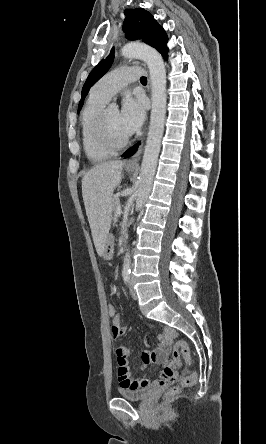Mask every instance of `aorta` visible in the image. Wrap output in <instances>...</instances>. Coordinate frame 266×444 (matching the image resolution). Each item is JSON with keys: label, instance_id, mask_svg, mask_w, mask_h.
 Masks as SVG:
<instances>
[{"label": "aorta", "instance_id": "1", "mask_svg": "<svg viewBox=\"0 0 266 444\" xmlns=\"http://www.w3.org/2000/svg\"><path fill=\"white\" fill-rule=\"evenodd\" d=\"M121 54L124 57L143 60L150 71L152 93L150 126L141 164L139 186L135 198L136 211H142L152 188L161 147V139L164 132L166 115V69L161 55L154 48L146 44L129 43L122 48ZM110 107L117 109L118 106L113 103ZM130 265L131 255L129 249H127L123 262V273L129 274Z\"/></svg>", "mask_w": 266, "mask_h": 444}]
</instances>
